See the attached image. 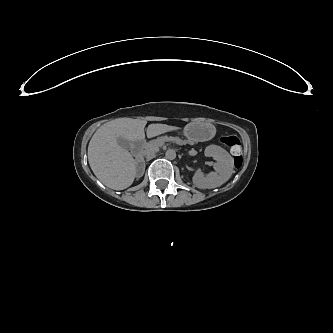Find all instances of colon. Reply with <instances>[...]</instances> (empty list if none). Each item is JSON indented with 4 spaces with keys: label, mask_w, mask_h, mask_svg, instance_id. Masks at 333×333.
<instances>
[{
    "label": "colon",
    "mask_w": 333,
    "mask_h": 333,
    "mask_svg": "<svg viewBox=\"0 0 333 333\" xmlns=\"http://www.w3.org/2000/svg\"><path fill=\"white\" fill-rule=\"evenodd\" d=\"M221 142L229 147L233 155L235 167L240 168L242 166L243 157L239 139L235 136H224L221 138Z\"/></svg>",
    "instance_id": "obj_1"
}]
</instances>
